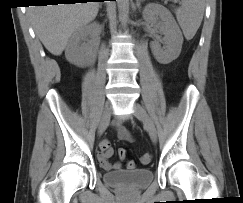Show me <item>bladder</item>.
I'll return each instance as SVG.
<instances>
[{"mask_svg":"<svg viewBox=\"0 0 243 203\" xmlns=\"http://www.w3.org/2000/svg\"><path fill=\"white\" fill-rule=\"evenodd\" d=\"M103 181L113 187L137 191L146 188L154 179L152 169H134L107 171L102 175Z\"/></svg>","mask_w":243,"mask_h":203,"instance_id":"31cf9c89","label":"bladder"}]
</instances>
